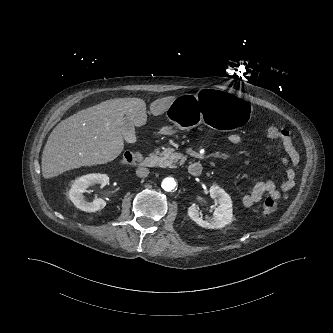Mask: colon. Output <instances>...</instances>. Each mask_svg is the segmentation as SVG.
Segmentation results:
<instances>
[{"mask_svg": "<svg viewBox=\"0 0 333 333\" xmlns=\"http://www.w3.org/2000/svg\"><path fill=\"white\" fill-rule=\"evenodd\" d=\"M267 137L270 139H279L281 136V129L275 126H269L266 129ZM141 159V155L136 152H126L123 155L122 162L127 165L136 164ZM276 210V201L272 197H268L264 200L262 205V213L269 215Z\"/></svg>", "mask_w": 333, "mask_h": 333, "instance_id": "5ec220e1", "label": "colon"}]
</instances>
